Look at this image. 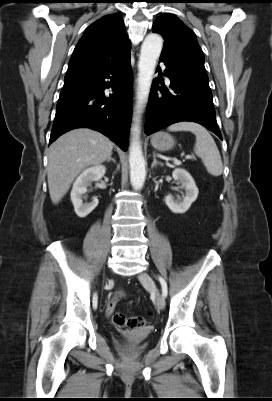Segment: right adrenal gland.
<instances>
[{
    "label": "right adrenal gland",
    "mask_w": 272,
    "mask_h": 401,
    "mask_svg": "<svg viewBox=\"0 0 272 401\" xmlns=\"http://www.w3.org/2000/svg\"><path fill=\"white\" fill-rule=\"evenodd\" d=\"M110 161H113L114 163H116L115 159L112 158V157H109V158L106 160V162H110Z\"/></svg>",
    "instance_id": "obj_1"
}]
</instances>
